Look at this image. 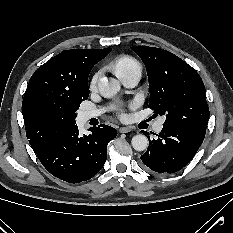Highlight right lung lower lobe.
<instances>
[{
	"label": "right lung lower lobe",
	"instance_id": "1",
	"mask_svg": "<svg viewBox=\"0 0 233 233\" xmlns=\"http://www.w3.org/2000/svg\"><path fill=\"white\" fill-rule=\"evenodd\" d=\"M89 135H79L77 125L55 136L36 155L55 177L79 183L95 176L107 158V145L117 136L111 126L101 124L89 129Z\"/></svg>",
	"mask_w": 233,
	"mask_h": 233
}]
</instances>
